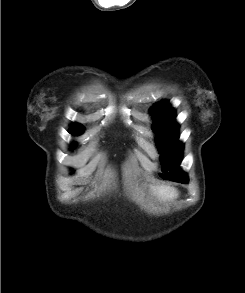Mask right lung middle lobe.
<instances>
[{
    "mask_svg": "<svg viewBox=\"0 0 245 293\" xmlns=\"http://www.w3.org/2000/svg\"><path fill=\"white\" fill-rule=\"evenodd\" d=\"M83 132V129H70V133L77 135Z\"/></svg>",
    "mask_w": 245,
    "mask_h": 293,
    "instance_id": "right-lung-middle-lobe-1",
    "label": "right lung middle lobe"
}]
</instances>
